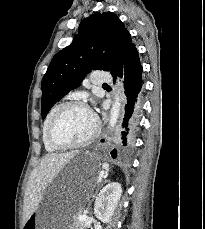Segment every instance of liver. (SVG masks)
<instances>
[{"instance_id": "liver-1", "label": "liver", "mask_w": 205, "mask_h": 229, "mask_svg": "<svg viewBox=\"0 0 205 229\" xmlns=\"http://www.w3.org/2000/svg\"><path fill=\"white\" fill-rule=\"evenodd\" d=\"M78 153L79 151L63 154H47L41 159L38 167L35 168L30 175L24 196V223L37 210L39 204L43 200L45 189L58 176L64 166Z\"/></svg>"}]
</instances>
